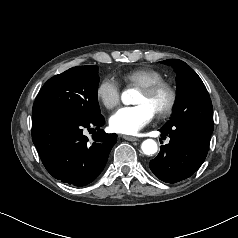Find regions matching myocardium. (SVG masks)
I'll use <instances>...</instances> for the list:
<instances>
[{"mask_svg":"<svg viewBox=\"0 0 238 238\" xmlns=\"http://www.w3.org/2000/svg\"><path fill=\"white\" fill-rule=\"evenodd\" d=\"M140 90L147 96H154L160 92L166 93L167 102L162 108L156 111V114L159 117H167L171 115L177 102V93L171 84L161 80L147 86H143L140 88Z\"/></svg>","mask_w":238,"mask_h":238,"instance_id":"f54148a6","label":"myocardium"}]
</instances>
